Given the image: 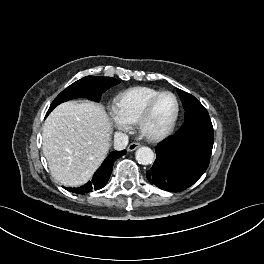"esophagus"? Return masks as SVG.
Instances as JSON below:
<instances>
[{
	"label": "esophagus",
	"instance_id": "obj_1",
	"mask_svg": "<svg viewBox=\"0 0 264 264\" xmlns=\"http://www.w3.org/2000/svg\"><path fill=\"white\" fill-rule=\"evenodd\" d=\"M138 147H140V144H139V143H137V142H132V143L129 144L127 150H128L129 152H132V151L136 150Z\"/></svg>",
	"mask_w": 264,
	"mask_h": 264
}]
</instances>
